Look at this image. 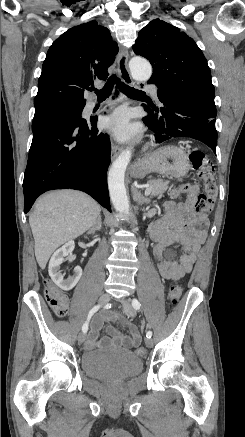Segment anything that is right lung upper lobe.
Masks as SVG:
<instances>
[{"label": "right lung upper lobe", "instance_id": "cb5924a9", "mask_svg": "<svg viewBox=\"0 0 245 437\" xmlns=\"http://www.w3.org/2000/svg\"><path fill=\"white\" fill-rule=\"evenodd\" d=\"M117 52L109 30L96 21L67 30L47 52L35 109L60 103L85 105L84 90L95 79H107Z\"/></svg>", "mask_w": 245, "mask_h": 437}]
</instances>
